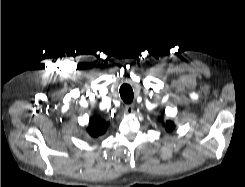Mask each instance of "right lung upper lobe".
<instances>
[{"instance_id":"cb5924a9","label":"right lung upper lobe","mask_w":245,"mask_h":187,"mask_svg":"<svg viewBox=\"0 0 245 187\" xmlns=\"http://www.w3.org/2000/svg\"><path fill=\"white\" fill-rule=\"evenodd\" d=\"M108 125L109 123L94 116L90 119L87 130L92 137H98L106 132V127Z\"/></svg>"}]
</instances>
